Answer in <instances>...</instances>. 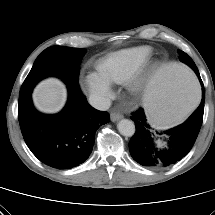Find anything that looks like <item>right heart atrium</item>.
<instances>
[{
    "label": "right heart atrium",
    "instance_id": "d8ad5b80",
    "mask_svg": "<svg viewBox=\"0 0 215 215\" xmlns=\"http://www.w3.org/2000/svg\"><path fill=\"white\" fill-rule=\"evenodd\" d=\"M84 89L96 106H104L112 96L111 83L98 72H88L82 79Z\"/></svg>",
    "mask_w": 215,
    "mask_h": 215
}]
</instances>
